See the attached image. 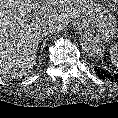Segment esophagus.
<instances>
[{"instance_id":"esophagus-1","label":"esophagus","mask_w":118,"mask_h":118,"mask_svg":"<svg viewBox=\"0 0 118 118\" xmlns=\"http://www.w3.org/2000/svg\"><path fill=\"white\" fill-rule=\"evenodd\" d=\"M82 24L83 23L81 21H76V22H74L73 26L76 30H79L82 28V26H83Z\"/></svg>"}]
</instances>
